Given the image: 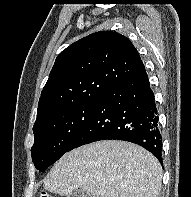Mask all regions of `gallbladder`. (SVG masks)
Listing matches in <instances>:
<instances>
[{"label":"gallbladder","instance_id":"1","mask_svg":"<svg viewBox=\"0 0 191 197\" xmlns=\"http://www.w3.org/2000/svg\"><path fill=\"white\" fill-rule=\"evenodd\" d=\"M71 197H91L87 192L82 189H77L71 193Z\"/></svg>","mask_w":191,"mask_h":197}]
</instances>
